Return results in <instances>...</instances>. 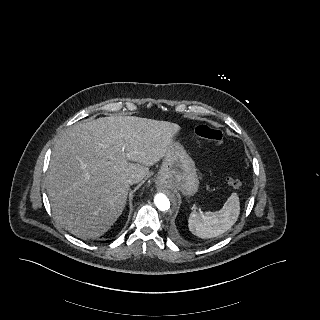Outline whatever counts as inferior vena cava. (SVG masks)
Masks as SVG:
<instances>
[{"mask_svg": "<svg viewBox=\"0 0 320 320\" xmlns=\"http://www.w3.org/2000/svg\"><path fill=\"white\" fill-rule=\"evenodd\" d=\"M127 181L129 184H133L135 182L134 178L132 177H129Z\"/></svg>", "mask_w": 320, "mask_h": 320, "instance_id": "obj_1", "label": "inferior vena cava"}]
</instances>
